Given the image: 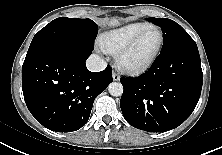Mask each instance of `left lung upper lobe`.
<instances>
[{"instance_id": "5c2ea615", "label": "left lung upper lobe", "mask_w": 222, "mask_h": 155, "mask_svg": "<svg viewBox=\"0 0 222 155\" xmlns=\"http://www.w3.org/2000/svg\"><path fill=\"white\" fill-rule=\"evenodd\" d=\"M149 20L162 29L163 46L161 53L175 48L197 47L189 34L173 20L167 18H149Z\"/></svg>"}]
</instances>
